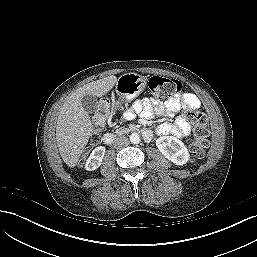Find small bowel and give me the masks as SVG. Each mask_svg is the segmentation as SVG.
<instances>
[{
    "label": "small bowel",
    "instance_id": "1",
    "mask_svg": "<svg viewBox=\"0 0 257 257\" xmlns=\"http://www.w3.org/2000/svg\"><path fill=\"white\" fill-rule=\"evenodd\" d=\"M200 106V100L192 93H178L165 103L154 99H138L132 107L122 114L123 120H131L136 115L151 117L153 114L171 116L181 108L196 109ZM156 132L160 135H174L183 138L190 133V125L184 117H178L173 123L164 122L160 124Z\"/></svg>",
    "mask_w": 257,
    "mask_h": 257
}]
</instances>
